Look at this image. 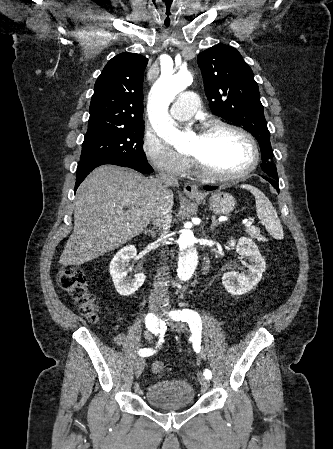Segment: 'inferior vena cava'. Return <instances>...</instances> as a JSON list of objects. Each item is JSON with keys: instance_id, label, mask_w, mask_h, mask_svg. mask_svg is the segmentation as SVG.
Returning a JSON list of instances; mask_svg holds the SVG:
<instances>
[{"instance_id": "inferior-vena-cava-1", "label": "inferior vena cava", "mask_w": 333, "mask_h": 449, "mask_svg": "<svg viewBox=\"0 0 333 449\" xmlns=\"http://www.w3.org/2000/svg\"><path fill=\"white\" fill-rule=\"evenodd\" d=\"M157 180L160 193L157 198V205L152 214V220L158 229L160 244L164 245L168 240L172 221L171 207L167 202L165 191L169 186L178 185V181L172 175L164 172L160 173ZM161 253L164 254L165 252L162 250ZM168 270L169 269L164 266L158 268L157 278L154 281V286L150 295L151 304L156 302L159 297L167 294L169 284Z\"/></svg>"}]
</instances>
